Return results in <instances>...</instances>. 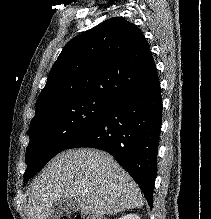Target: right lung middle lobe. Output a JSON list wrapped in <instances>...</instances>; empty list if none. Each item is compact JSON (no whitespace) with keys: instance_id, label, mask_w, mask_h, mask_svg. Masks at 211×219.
I'll use <instances>...</instances> for the list:
<instances>
[{"instance_id":"right-lung-middle-lobe-1","label":"right lung middle lobe","mask_w":211,"mask_h":219,"mask_svg":"<svg viewBox=\"0 0 211 219\" xmlns=\"http://www.w3.org/2000/svg\"><path fill=\"white\" fill-rule=\"evenodd\" d=\"M112 103L100 97L77 98L57 104L49 112L32 119L24 182L91 127Z\"/></svg>"}]
</instances>
